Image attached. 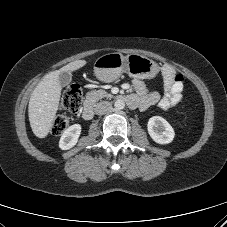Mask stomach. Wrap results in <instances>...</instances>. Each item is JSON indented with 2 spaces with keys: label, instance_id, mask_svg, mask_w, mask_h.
Here are the masks:
<instances>
[{
  "label": "stomach",
  "instance_id": "0dacf381",
  "mask_svg": "<svg viewBox=\"0 0 227 227\" xmlns=\"http://www.w3.org/2000/svg\"><path fill=\"white\" fill-rule=\"evenodd\" d=\"M123 72L138 79H150L159 72V66L153 60L139 55L131 54L124 57L120 53H108L100 56L94 63L96 77L104 82H112Z\"/></svg>",
  "mask_w": 227,
  "mask_h": 227
}]
</instances>
